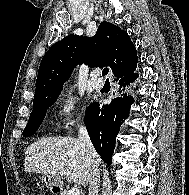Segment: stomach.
Returning <instances> with one entry per match:
<instances>
[{
  "instance_id": "obj_1",
  "label": "stomach",
  "mask_w": 189,
  "mask_h": 195,
  "mask_svg": "<svg viewBox=\"0 0 189 195\" xmlns=\"http://www.w3.org/2000/svg\"><path fill=\"white\" fill-rule=\"evenodd\" d=\"M42 182L45 184V186L50 190L53 191L54 189L61 187V181L59 178H56L49 174H43L41 176Z\"/></svg>"
}]
</instances>
